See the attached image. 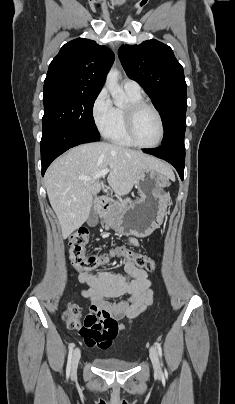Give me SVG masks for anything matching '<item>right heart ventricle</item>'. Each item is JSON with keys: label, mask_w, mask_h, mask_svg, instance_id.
Listing matches in <instances>:
<instances>
[{"label": "right heart ventricle", "mask_w": 235, "mask_h": 404, "mask_svg": "<svg viewBox=\"0 0 235 404\" xmlns=\"http://www.w3.org/2000/svg\"><path fill=\"white\" fill-rule=\"evenodd\" d=\"M129 103L142 101L141 94L127 93ZM104 136L114 144L133 147L135 146L128 138L125 130V116L123 107H114L112 120Z\"/></svg>", "instance_id": "obj_1"}]
</instances>
